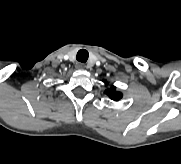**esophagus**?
<instances>
[{"instance_id": "1", "label": "esophagus", "mask_w": 181, "mask_h": 164, "mask_svg": "<svg viewBox=\"0 0 181 164\" xmlns=\"http://www.w3.org/2000/svg\"><path fill=\"white\" fill-rule=\"evenodd\" d=\"M76 68H77V69H85L86 66H85V64H83V63H77V64H76Z\"/></svg>"}]
</instances>
